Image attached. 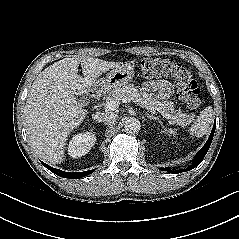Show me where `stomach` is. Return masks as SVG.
Here are the masks:
<instances>
[{
  "mask_svg": "<svg viewBox=\"0 0 239 239\" xmlns=\"http://www.w3.org/2000/svg\"><path fill=\"white\" fill-rule=\"evenodd\" d=\"M134 76V68L131 64L125 63L113 68L106 77L98 79L94 84L103 92L121 87L129 83Z\"/></svg>",
  "mask_w": 239,
  "mask_h": 239,
  "instance_id": "0dacf381",
  "label": "stomach"
}]
</instances>
